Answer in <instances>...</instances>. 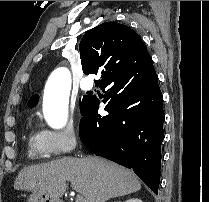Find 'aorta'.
Listing matches in <instances>:
<instances>
[{"instance_id":"obj_1","label":"aorta","mask_w":209,"mask_h":202,"mask_svg":"<svg viewBox=\"0 0 209 202\" xmlns=\"http://www.w3.org/2000/svg\"><path fill=\"white\" fill-rule=\"evenodd\" d=\"M71 75L66 68H58L47 80L43 95V113L48 125L63 128L68 119V100Z\"/></svg>"}]
</instances>
